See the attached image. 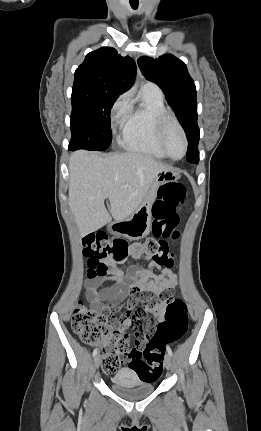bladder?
I'll return each instance as SVG.
<instances>
[{"instance_id": "1", "label": "bladder", "mask_w": 261, "mask_h": 431, "mask_svg": "<svg viewBox=\"0 0 261 431\" xmlns=\"http://www.w3.org/2000/svg\"><path fill=\"white\" fill-rule=\"evenodd\" d=\"M112 390L127 399H139L150 395L154 382L140 378L133 370L123 368L111 377Z\"/></svg>"}]
</instances>
